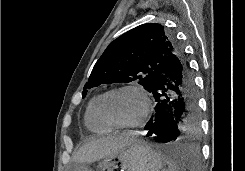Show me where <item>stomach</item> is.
<instances>
[{
    "mask_svg": "<svg viewBox=\"0 0 245 171\" xmlns=\"http://www.w3.org/2000/svg\"><path fill=\"white\" fill-rule=\"evenodd\" d=\"M163 158L150 145L135 141L116 153L104 157L98 164L100 171H162ZM74 171H91L79 165Z\"/></svg>",
    "mask_w": 245,
    "mask_h": 171,
    "instance_id": "obj_1",
    "label": "stomach"
}]
</instances>
